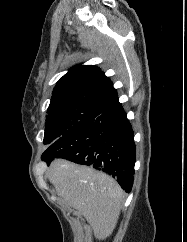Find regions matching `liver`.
I'll return each mask as SVG.
<instances>
[{
  "label": "liver",
  "instance_id": "6515ba94",
  "mask_svg": "<svg viewBox=\"0 0 187 242\" xmlns=\"http://www.w3.org/2000/svg\"><path fill=\"white\" fill-rule=\"evenodd\" d=\"M47 177L58 197L85 217L99 241L113 233L123 203V191L113 178L62 159L51 163Z\"/></svg>",
  "mask_w": 187,
  "mask_h": 242
}]
</instances>
